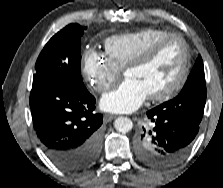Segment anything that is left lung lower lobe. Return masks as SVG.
<instances>
[{"instance_id": "1", "label": "left lung lower lobe", "mask_w": 223, "mask_h": 188, "mask_svg": "<svg viewBox=\"0 0 223 188\" xmlns=\"http://www.w3.org/2000/svg\"><path fill=\"white\" fill-rule=\"evenodd\" d=\"M153 129L140 130L135 139L138 158L153 167L165 168L179 162L189 151L199 124L170 117L153 108L147 112Z\"/></svg>"}]
</instances>
